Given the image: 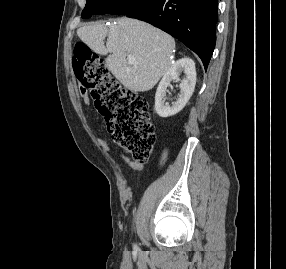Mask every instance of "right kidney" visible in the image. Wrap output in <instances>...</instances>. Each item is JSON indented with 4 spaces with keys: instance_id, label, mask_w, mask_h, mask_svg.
Listing matches in <instances>:
<instances>
[{
    "instance_id": "ca27d5eb",
    "label": "right kidney",
    "mask_w": 286,
    "mask_h": 269,
    "mask_svg": "<svg viewBox=\"0 0 286 269\" xmlns=\"http://www.w3.org/2000/svg\"><path fill=\"white\" fill-rule=\"evenodd\" d=\"M184 72L185 79L180 82L179 98L170 106L166 102V90L172 80H180V73ZM196 84L195 63L190 58L176 61L165 73L160 81L155 95V110L160 117H169L180 112L194 92Z\"/></svg>"
}]
</instances>
